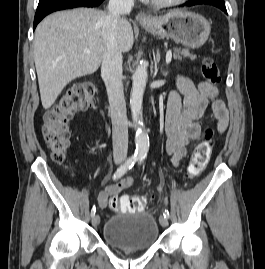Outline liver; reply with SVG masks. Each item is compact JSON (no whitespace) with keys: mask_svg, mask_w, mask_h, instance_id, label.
Here are the masks:
<instances>
[{"mask_svg":"<svg viewBox=\"0 0 265 269\" xmlns=\"http://www.w3.org/2000/svg\"><path fill=\"white\" fill-rule=\"evenodd\" d=\"M104 20L102 11L78 8L53 13L39 23L34 61L44 109L54 104L69 82L97 71L104 50ZM117 40L121 52L132 49L133 30L125 18L119 20Z\"/></svg>","mask_w":265,"mask_h":269,"instance_id":"6515ba94","label":"liver"}]
</instances>
